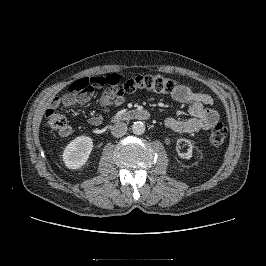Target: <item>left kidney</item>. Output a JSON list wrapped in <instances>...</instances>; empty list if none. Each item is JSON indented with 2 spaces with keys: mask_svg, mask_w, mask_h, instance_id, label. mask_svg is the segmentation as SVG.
I'll return each mask as SVG.
<instances>
[{
  "mask_svg": "<svg viewBox=\"0 0 266 266\" xmlns=\"http://www.w3.org/2000/svg\"><path fill=\"white\" fill-rule=\"evenodd\" d=\"M180 142H186L189 145V149H188L187 153H178L179 156L183 159H190L192 157V144H191V142L187 139H178L177 144Z\"/></svg>",
  "mask_w": 266,
  "mask_h": 266,
  "instance_id": "5707ae66",
  "label": "left kidney"
}]
</instances>
